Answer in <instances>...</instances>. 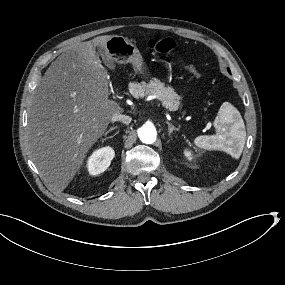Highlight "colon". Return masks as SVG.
I'll return each mask as SVG.
<instances>
[{
  "label": "colon",
  "instance_id": "1",
  "mask_svg": "<svg viewBox=\"0 0 285 285\" xmlns=\"http://www.w3.org/2000/svg\"><path fill=\"white\" fill-rule=\"evenodd\" d=\"M147 46L156 53L170 55L183 63V58L178 54L176 43L171 38L150 39L147 42ZM184 67L193 76H201V72L195 66L184 64Z\"/></svg>",
  "mask_w": 285,
  "mask_h": 285
}]
</instances>
